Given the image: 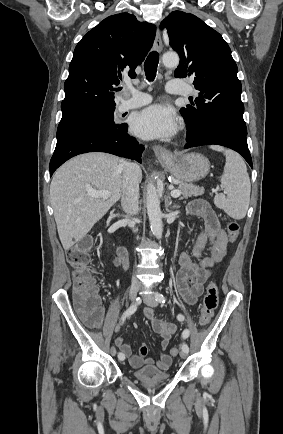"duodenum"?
<instances>
[{"instance_id":"obj_1","label":"duodenum","mask_w":283,"mask_h":434,"mask_svg":"<svg viewBox=\"0 0 283 434\" xmlns=\"http://www.w3.org/2000/svg\"><path fill=\"white\" fill-rule=\"evenodd\" d=\"M121 250H122L123 252H126V251H125V249H124V248H122V247H121Z\"/></svg>"}]
</instances>
